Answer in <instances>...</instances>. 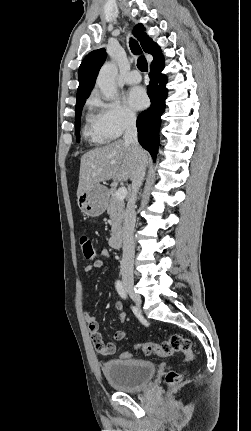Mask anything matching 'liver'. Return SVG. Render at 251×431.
Returning <instances> with one entry per match:
<instances>
[{"label":"liver","mask_w":251,"mask_h":431,"mask_svg":"<svg viewBox=\"0 0 251 431\" xmlns=\"http://www.w3.org/2000/svg\"><path fill=\"white\" fill-rule=\"evenodd\" d=\"M143 149L136 151L124 140H117L95 148L81 157L77 197L100 182L113 179L115 182L133 178L137 165L147 163Z\"/></svg>","instance_id":"6515ba94"}]
</instances>
